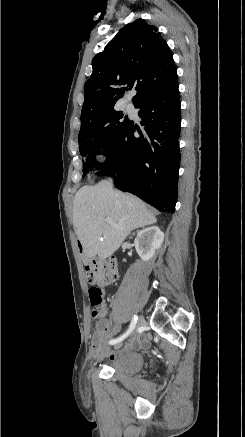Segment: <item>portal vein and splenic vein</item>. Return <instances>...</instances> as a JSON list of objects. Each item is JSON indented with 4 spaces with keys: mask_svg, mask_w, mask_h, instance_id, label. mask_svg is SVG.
Wrapping results in <instances>:
<instances>
[{
    "mask_svg": "<svg viewBox=\"0 0 245 437\" xmlns=\"http://www.w3.org/2000/svg\"><path fill=\"white\" fill-rule=\"evenodd\" d=\"M106 222L113 227H117V225L113 222V220L111 218H106Z\"/></svg>",
    "mask_w": 245,
    "mask_h": 437,
    "instance_id": "18ae733b",
    "label": "portal vein and splenic vein"
}]
</instances>
